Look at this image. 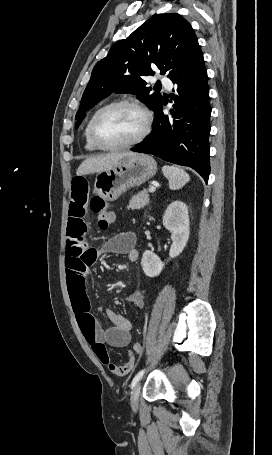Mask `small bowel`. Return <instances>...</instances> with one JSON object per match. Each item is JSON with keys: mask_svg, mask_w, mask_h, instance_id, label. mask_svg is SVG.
Segmentation results:
<instances>
[{"mask_svg": "<svg viewBox=\"0 0 272 455\" xmlns=\"http://www.w3.org/2000/svg\"><path fill=\"white\" fill-rule=\"evenodd\" d=\"M88 199V180L83 175L75 176L71 183L66 239L65 263L68 291L79 328L96 357L114 375L125 376L134 368L133 353L128 352V361L125 364L116 365L111 362L107 347L123 348L129 345L131 342L130 320L112 309H106L105 315L111 322V326L104 329L92 315L90 309L86 281L90 267L98 258L99 250L90 247L85 240ZM101 251L125 254L131 262H135L139 258L136 236L133 232L128 231L109 238ZM126 299L138 308L144 306V294L140 290L132 291Z\"/></svg>", "mask_w": 272, "mask_h": 455, "instance_id": "small-bowel-1", "label": "small bowel"}]
</instances>
